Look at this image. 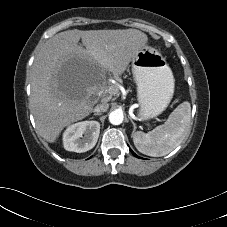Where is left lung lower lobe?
Instances as JSON below:
<instances>
[{"instance_id": "0a47b994", "label": "left lung lower lobe", "mask_w": 227, "mask_h": 227, "mask_svg": "<svg viewBox=\"0 0 227 227\" xmlns=\"http://www.w3.org/2000/svg\"><path fill=\"white\" fill-rule=\"evenodd\" d=\"M130 151L132 152V154H133L135 157L140 158V157L137 156L131 149H130Z\"/></svg>"}]
</instances>
